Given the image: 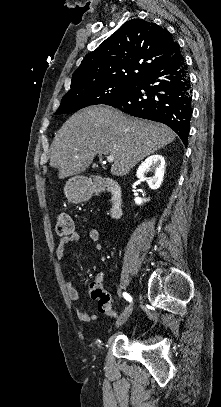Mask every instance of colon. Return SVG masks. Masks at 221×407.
I'll return each mask as SVG.
<instances>
[{"mask_svg": "<svg viewBox=\"0 0 221 407\" xmlns=\"http://www.w3.org/2000/svg\"><path fill=\"white\" fill-rule=\"evenodd\" d=\"M74 231L72 218L69 214H60L56 224V232L59 236H70ZM90 294L98 301V310L116 318L118 313L113 310L110 299L105 295L100 282H90Z\"/></svg>", "mask_w": 221, "mask_h": 407, "instance_id": "5ec220e1", "label": "colon"}]
</instances>
